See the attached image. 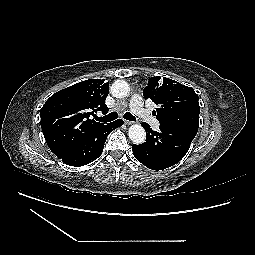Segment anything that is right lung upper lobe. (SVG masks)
Here are the masks:
<instances>
[{
  "mask_svg": "<svg viewBox=\"0 0 255 255\" xmlns=\"http://www.w3.org/2000/svg\"><path fill=\"white\" fill-rule=\"evenodd\" d=\"M108 91L109 83L90 79L58 91L46 101L40 111L41 128L56 156L83 133L103 125L90 116L97 111L108 112Z\"/></svg>",
  "mask_w": 255,
  "mask_h": 255,
  "instance_id": "cb5924a9",
  "label": "right lung upper lobe"
}]
</instances>
